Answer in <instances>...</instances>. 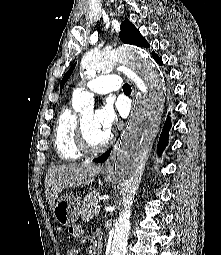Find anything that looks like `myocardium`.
<instances>
[{
  "instance_id": "1",
  "label": "myocardium",
  "mask_w": 221,
  "mask_h": 255,
  "mask_svg": "<svg viewBox=\"0 0 221 255\" xmlns=\"http://www.w3.org/2000/svg\"><path fill=\"white\" fill-rule=\"evenodd\" d=\"M113 140L112 133H109L108 138L106 141L101 144L100 146H93L89 143L85 130H84V125H83V119L79 118L78 119V124H77V143L80 148V150L84 154H97L101 153L104 150L108 148V146L111 144Z\"/></svg>"
}]
</instances>
